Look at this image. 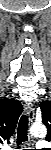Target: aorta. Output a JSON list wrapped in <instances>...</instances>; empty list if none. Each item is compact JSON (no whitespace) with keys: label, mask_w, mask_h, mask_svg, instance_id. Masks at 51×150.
I'll return each mask as SVG.
<instances>
[{"label":"aorta","mask_w":51,"mask_h":150,"mask_svg":"<svg viewBox=\"0 0 51 150\" xmlns=\"http://www.w3.org/2000/svg\"><path fill=\"white\" fill-rule=\"evenodd\" d=\"M30 134L35 137H45L47 130L43 124H34L30 128Z\"/></svg>","instance_id":"1"}]
</instances>
